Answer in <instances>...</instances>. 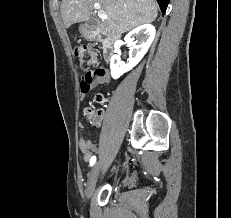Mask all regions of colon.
I'll return each instance as SVG.
<instances>
[{
	"label": "colon",
	"instance_id": "1",
	"mask_svg": "<svg viewBox=\"0 0 231 218\" xmlns=\"http://www.w3.org/2000/svg\"><path fill=\"white\" fill-rule=\"evenodd\" d=\"M74 55L78 61L79 68L83 69H95L100 64L101 54L98 50L91 48L90 46L81 44L77 45L74 49ZM97 102H102L103 97L101 95L96 96ZM100 111L89 107L85 110V117L88 122L97 126L100 120Z\"/></svg>",
	"mask_w": 231,
	"mask_h": 218
}]
</instances>
